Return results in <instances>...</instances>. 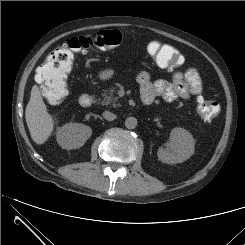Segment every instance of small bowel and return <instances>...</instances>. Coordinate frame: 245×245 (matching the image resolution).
<instances>
[{"mask_svg": "<svg viewBox=\"0 0 245 245\" xmlns=\"http://www.w3.org/2000/svg\"><path fill=\"white\" fill-rule=\"evenodd\" d=\"M143 102L151 104L155 98L160 97L166 102H174L178 99H190L200 95L202 81L197 70L193 67L183 72H174L172 81H152L147 71H141L137 75Z\"/></svg>", "mask_w": 245, "mask_h": 245, "instance_id": "small-bowel-1", "label": "small bowel"}]
</instances>
